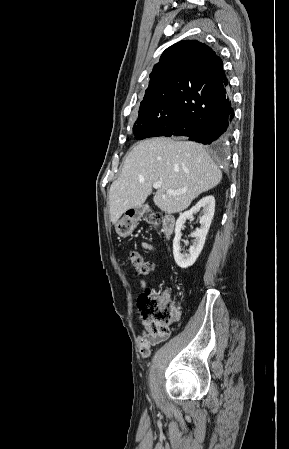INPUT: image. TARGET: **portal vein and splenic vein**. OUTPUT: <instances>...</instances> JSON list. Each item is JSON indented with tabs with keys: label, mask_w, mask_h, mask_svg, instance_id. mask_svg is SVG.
Segmentation results:
<instances>
[{
	"label": "portal vein and splenic vein",
	"mask_w": 289,
	"mask_h": 449,
	"mask_svg": "<svg viewBox=\"0 0 289 449\" xmlns=\"http://www.w3.org/2000/svg\"><path fill=\"white\" fill-rule=\"evenodd\" d=\"M160 187H161V182L153 183V188L154 189H158ZM166 193L171 194V195H179V194H181V192H179V191H174V190H170V189H167Z\"/></svg>",
	"instance_id": "obj_1"
}]
</instances>
